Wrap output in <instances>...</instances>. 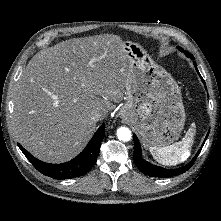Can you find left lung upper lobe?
<instances>
[{
	"label": "left lung upper lobe",
	"instance_id": "left-lung-upper-lobe-1",
	"mask_svg": "<svg viewBox=\"0 0 221 221\" xmlns=\"http://www.w3.org/2000/svg\"><path fill=\"white\" fill-rule=\"evenodd\" d=\"M186 54H187L188 56H192V55H190V54H189V53H187V52H186Z\"/></svg>",
	"mask_w": 221,
	"mask_h": 221
}]
</instances>
